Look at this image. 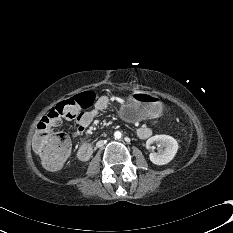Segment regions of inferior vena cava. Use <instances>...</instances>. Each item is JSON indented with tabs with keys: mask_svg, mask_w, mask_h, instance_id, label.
Returning <instances> with one entry per match:
<instances>
[{
	"mask_svg": "<svg viewBox=\"0 0 233 233\" xmlns=\"http://www.w3.org/2000/svg\"><path fill=\"white\" fill-rule=\"evenodd\" d=\"M96 145H97V147H101V146L104 145V142H103L102 140H101V141H98Z\"/></svg>",
	"mask_w": 233,
	"mask_h": 233,
	"instance_id": "1",
	"label": "inferior vena cava"
}]
</instances>
